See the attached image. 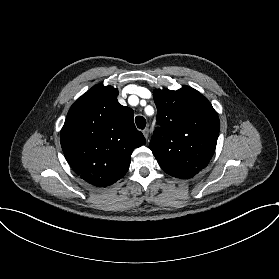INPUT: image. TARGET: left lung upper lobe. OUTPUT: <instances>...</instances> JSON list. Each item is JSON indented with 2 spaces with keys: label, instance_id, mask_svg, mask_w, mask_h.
<instances>
[{
  "label": "left lung upper lobe",
  "instance_id": "1",
  "mask_svg": "<svg viewBox=\"0 0 279 279\" xmlns=\"http://www.w3.org/2000/svg\"><path fill=\"white\" fill-rule=\"evenodd\" d=\"M156 128L150 149L167 174L189 179L212 158L220 130L218 114L195 89H155Z\"/></svg>",
  "mask_w": 279,
  "mask_h": 279
}]
</instances>
